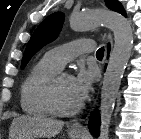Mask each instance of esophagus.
I'll return each mask as SVG.
<instances>
[{"label": "esophagus", "instance_id": "1", "mask_svg": "<svg viewBox=\"0 0 141 139\" xmlns=\"http://www.w3.org/2000/svg\"><path fill=\"white\" fill-rule=\"evenodd\" d=\"M107 39L112 46L111 34L109 32L107 33ZM71 129L75 131L83 132L86 130V126L81 122H75L71 125Z\"/></svg>", "mask_w": 141, "mask_h": 139}]
</instances>
